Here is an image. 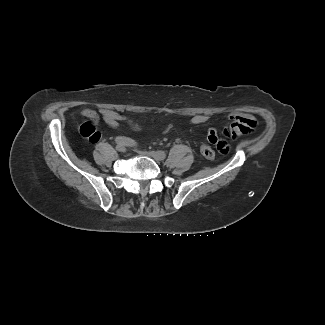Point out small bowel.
I'll use <instances>...</instances> for the list:
<instances>
[{
  "label": "small bowel",
  "mask_w": 325,
  "mask_h": 325,
  "mask_svg": "<svg viewBox=\"0 0 325 325\" xmlns=\"http://www.w3.org/2000/svg\"><path fill=\"white\" fill-rule=\"evenodd\" d=\"M100 115L102 116L105 123L111 128H117L118 123L126 119L119 112L109 109H101ZM83 116L88 118L89 123L93 126H96L99 121V114L91 109L84 110ZM207 120V115L199 114L193 116L191 122L193 124H203ZM226 120L227 125L222 131L224 138H220L218 136V133L214 129H209L207 132V140L211 145L216 146L218 143H221L223 145V148L219 150L223 154H226L229 151V145L227 143L226 138L236 140L244 135H247L251 132V126L256 123L254 118L250 115L230 114L227 116Z\"/></svg>",
  "instance_id": "obj_1"
}]
</instances>
